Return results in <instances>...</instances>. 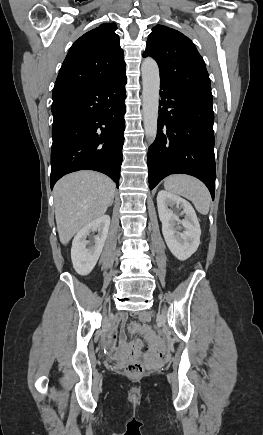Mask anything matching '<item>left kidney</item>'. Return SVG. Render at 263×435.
I'll return each instance as SVG.
<instances>
[{
	"label": "left kidney",
	"mask_w": 263,
	"mask_h": 435,
	"mask_svg": "<svg viewBox=\"0 0 263 435\" xmlns=\"http://www.w3.org/2000/svg\"><path fill=\"white\" fill-rule=\"evenodd\" d=\"M157 207L168 248L177 259H188L200 244L201 229L194 208L187 200L166 190L158 192ZM177 208L182 209L183 220L174 212Z\"/></svg>",
	"instance_id": "1"
}]
</instances>
